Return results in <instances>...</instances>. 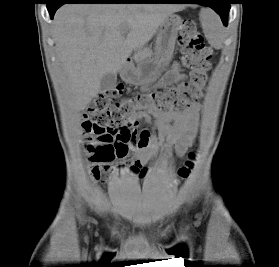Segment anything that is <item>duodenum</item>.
Returning <instances> with one entry per match:
<instances>
[{
  "label": "duodenum",
  "mask_w": 279,
  "mask_h": 267,
  "mask_svg": "<svg viewBox=\"0 0 279 267\" xmlns=\"http://www.w3.org/2000/svg\"><path fill=\"white\" fill-rule=\"evenodd\" d=\"M131 67H132V60L130 58H127L125 60V68H124L125 72L129 73L131 70Z\"/></svg>",
  "instance_id": "1"
}]
</instances>
